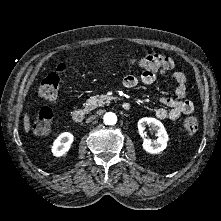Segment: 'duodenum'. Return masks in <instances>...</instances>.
<instances>
[{
	"label": "duodenum",
	"mask_w": 221,
	"mask_h": 221,
	"mask_svg": "<svg viewBox=\"0 0 221 221\" xmlns=\"http://www.w3.org/2000/svg\"><path fill=\"white\" fill-rule=\"evenodd\" d=\"M122 108L124 110H129L131 108V105L128 102H123ZM87 114H88V110L86 108H79L72 112V119L75 122H82L85 119Z\"/></svg>",
	"instance_id": "obj_1"
}]
</instances>
